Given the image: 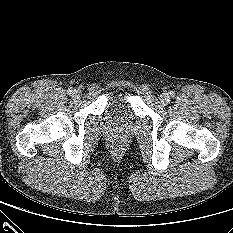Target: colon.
<instances>
[{"label":"colon","instance_id":"5ec220e1","mask_svg":"<svg viewBox=\"0 0 233 233\" xmlns=\"http://www.w3.org/2000/svg\"><path fill=\"white\" fill-rule=\"evenodd\" d=\"M113 148H114V150H118L119 149V147L117 145H114Z\"/></svg>","mask_w":233,"mask_h":233}]
</instances>
